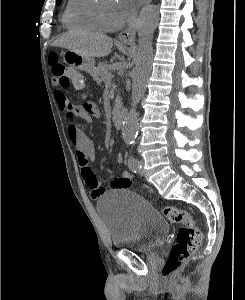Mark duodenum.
I'll list each match as a JSON object with an SVG mask.
<instances>
[{
    "mask_svg": "<svg viewBox=\"0 0 245 300\" xmlns=\"http://www.w3.org/2000/svg\"><path fill=\"white\" fill-rule=\"evenodd\" d=\"M124 115L122 112H118L114 115V125L116 128L121 129L123 126Z\"/></svg>",
    "mask_w": 245,
    "mask_h": 300,
    "instance_id": "obj_1",
    "label": "duodenum"
}]
</instances>
